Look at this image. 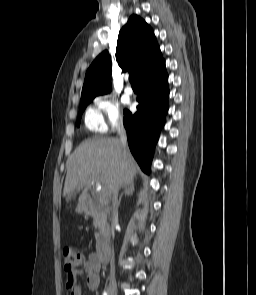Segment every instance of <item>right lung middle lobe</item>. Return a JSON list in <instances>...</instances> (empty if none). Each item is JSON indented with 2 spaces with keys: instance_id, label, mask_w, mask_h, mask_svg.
<instances>
[{
  "instance_id": "right-lung-middle-lobe-1",
  "label": "right lung middle lobe",
  "mask_w": 256,
  "mask_h": 295,
  "mask_svg": "<svg viewBox=\"0 0 256 295\" xmlns=\"http://www.w3.org/2000/svg\"><path fill=\"white\" fill-rule=\"evenodd\" d=\"M94 99V97H86V98H81L80 101V107H79V114H78V120H77V126L80 125L81 121V116L83 111L85 110L86 106Z\"/></svg>"
}]
</instances>
